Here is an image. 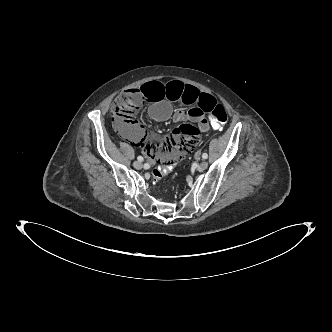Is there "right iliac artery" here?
Returning <instances> with one entry per match:
<instances>
[{
    "label": "right iliac artery",
    "mask_w": 332,
    "mask_h": 332,
    "mask_svg": "<svg viewBox=\"0 0 332 332\" xmlns=\"http://www.w3.org/2000/svg\"><path fill=\"white\" fill-rule=\"evenodd\" d=\"M137 159H138V161H140V162L143 161V157H142V156H138Z\"/></svg>",
    "instance_id": "82829eb1"
}]
</instances>
